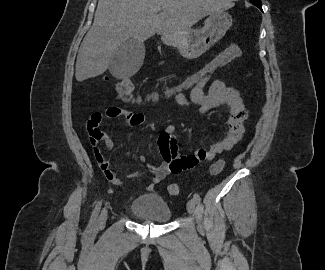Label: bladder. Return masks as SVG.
Returning <instances> with one entry per match:
<instances>
[{
  "label": "bladder",
  "mask_w": 325,
  "mask_h": 270,
  "mask_svg": "<svg viewBox=\"0 0 325 270\" xmlns=\"http://www.w3.org/2000/svg\"><path fill=\"white\" fill-rule=\"evenodd\" d=\"M130 212L137 218L157 223H166L172 218L168 203L159 194H145L134 198Z\"/></svg>",
  "instance_id": "bladder-1"
}]
</instances>
